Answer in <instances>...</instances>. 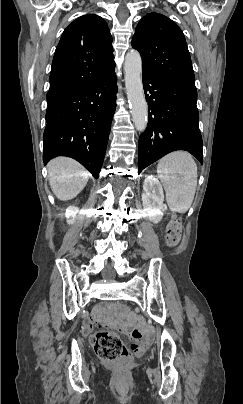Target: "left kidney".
<instances>
[{"mask_svg":"<svg viewBox=\"0 0 243 404\" xmlns=\"http://www.w3.org/2000/svg\"><path fill=\"white\" fill-rule=\"evenodd\" d=\"M164 202L163 188L154 176H147L143 182L142 204L143 212L148 216L150 222L158 224L167 210Z\"/></svg>","mask_w":243,"mask_h":404,"instance_id":"1","label":"left kidney"}]
</instances>
